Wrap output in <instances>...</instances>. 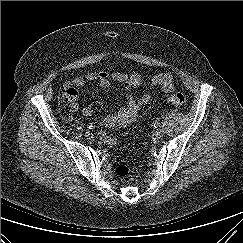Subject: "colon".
<instances>
[{
	"mask_svg": "<svg viewBox=\"0 0 243 243\" xmlns=\"http://www.w3.org/2000/svg\"><path fill=\"white\" fill-rule=\"evenodd\" d=\"M167 100L175 106H183L186 103V96L181 92L169 94ZM61 116L70 119L76 109L75 96L71 90H63L58 98ZM116 175L121 179L131 176V169L125 164H120L115 168Z\"/></svg>",
	"mask_w": 243,
	"mask_h": 243,
	"instance_id": "obj_1",
	"label": "colon"
}]
</instances>
